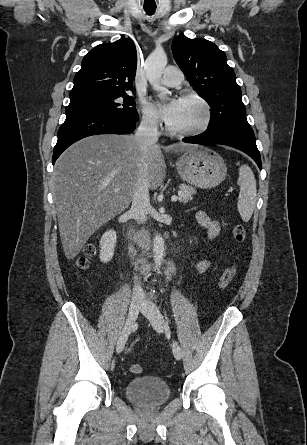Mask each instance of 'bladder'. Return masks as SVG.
<instances>
[{
    "mask_svg": "<svg viewBox=\"0 0 307 445\" xmlns=\"http://www.w3.org/2000/svg\"><path fill=\"white\" fill-rule=\"evenodd\" d=\"M124 391L129 401L147 409L163 405L170 397L168 383L158 376L134 378L126 383Z\"/></svg>",
    "mask_w": 307,
    "mask_h": 445,
    "instance_id": "1",
    "label": "bladder"
}]
</instances>
